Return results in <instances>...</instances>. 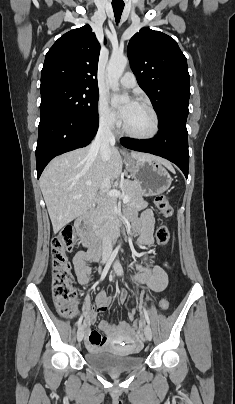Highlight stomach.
Segmentation results:
<instances>
[{"instance_id": "obj_1", "label": "stomach", "mask_w": 235, "mask_h": 404, "mask_svg": "<svg viewBox=\"0 0 235 404\" xmlns=\"http://www.w3.org/2000/svg\"><path fill=\"white\" fill-rule=\"evenodd\" d=\"M126 162L133 173L134 181L141 186L143 195H159L170 187L172 178L164 164L158 159L154 157L140 159L127 157Z\"/></svg>"}]
</instances>
